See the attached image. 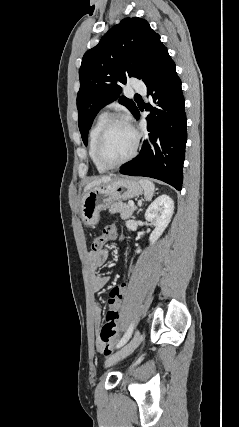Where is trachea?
<instances>
[{
  "label": "trachea",
  "mask_w": 239,
  "mask_h": 427,
  "mask_svg": "<svg viewBox=\"0 0 239 427\" xmlns=\"http://www.w3.org/2000/svg\"><path fill=\"white\" fill-rule=\"evenodd\" d=\"M135 97H140V95L136 94Z\"/></svg>",
  "instance_id": "trachea-1"
}]
</instances>
